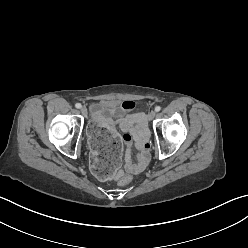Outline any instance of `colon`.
I'll list each match as a JSON object with an SVG mask.
<instances>
[{"label": "colon", "instance_id": "obj_1", "mask_svg": "<svg viewBox=\"0 0 248 248\" xmlns=\"http://www.w3.org/2000/svg\"><path fill=\"white\" fill-rule=\"evenodd\" d=\"M84 130L93 146L89 154L92 172L101 179H109L113 172L123 164L120 138L116 133L110 132L104 121L89 122ZM131 181L132 178L129 175H123L119 184L127 186Z\"/></svg>", "mask_w": 248, "mask_h": 248}]
</instances>
